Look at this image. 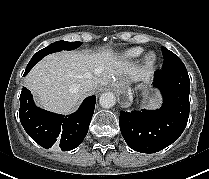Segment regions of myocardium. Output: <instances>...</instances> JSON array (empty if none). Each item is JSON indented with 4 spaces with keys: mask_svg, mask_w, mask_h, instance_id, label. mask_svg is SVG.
<instances>
[{
    "mask_svg": "<svg viewBox=\"0 0 209 179\" xmlns=\"http://www.w3.org/2000/svg\"><path fill=\"white\" fill-rule=\"evenodd\" d=\"M143 61H144V64L147 67L153 66L156 63V61H157L156 53L153 52V51H150V52L146 53L145 56H144Z\"/></svg>",
    "mask_w": 209,
    "mask_h": 179,
    "instance_id": "f54148a6",
    "label": "myocardium"
}]
</instances>
